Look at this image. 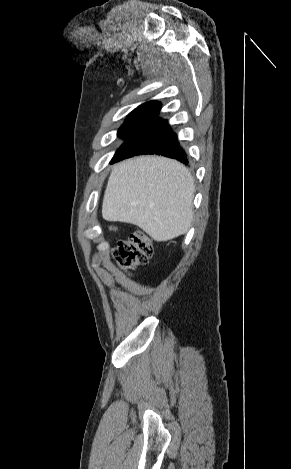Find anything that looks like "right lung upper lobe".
<instances>
[{
	"mask_svg": "<svg viewBox=\"0 0 291 469\" xmlns=\"http://www.w3.org/2000/svg\"><path fill=\"white\" fill-rule=\"evenodd\" d=\"M160 109H161V104L159 102H157V101H148V102L138 106L131 113L144 114V115H150L152 117H155L159 114Z\"/></svg>",
	"mask_w": 291,
	"mask_h": 469,
	"instance_id": "cb5924a9",
	"label": "right lung upper lobe"
}]
</instances>
